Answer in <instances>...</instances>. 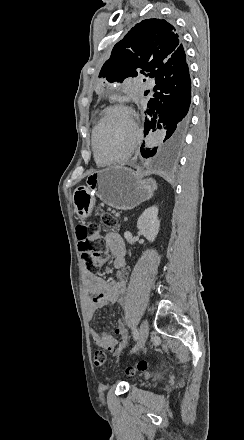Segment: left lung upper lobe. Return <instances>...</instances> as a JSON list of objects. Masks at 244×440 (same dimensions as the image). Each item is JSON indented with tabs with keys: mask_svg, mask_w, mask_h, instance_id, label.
Masks as SVG:
<instances>
[{
	"mask_svg": "<svg viewBox=\"0 0 244 440\" xmlns=\"http://www.w3.org/2000/svg\"><path fill=\"white\" fill-rule=\"evenodd\" d=\"M183 58L185 51L174 26L162 19H145L114 46L100 76L109 82H122L138 72L154 77L161 67L177 64Z\"/></svg>",
	"mask_w": 244,
	"mask_h": 440,
	"instance_id": "5c2ea615",
	"label": "left lung upper lobe"
}]
</instances>
